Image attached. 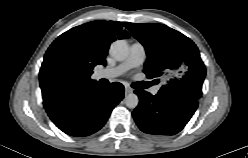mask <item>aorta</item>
Returning a JSON list of instances; mask_svg holds the SVG:
<instances>
[{
  "label": "aorta",
  "mask_w": 248,
  "mask_h": 158,
  "mask_svg": "<svg viewBox=\"0 0 248 158\" xmlns=\"http://www.w3.org/2000/svg\"><path fill=\"white\" fill-rule=\"evenodd\" d=\"M109 53L115 60L123 61L129 55V47L125 41L116 40L111 44ZM124 102L128 108L134 109L138 106L139 98L136 94L130 93L125 96Z\"/></svg>",
  "instance_id": "aorta-1"
}]
</instances>
